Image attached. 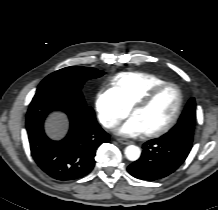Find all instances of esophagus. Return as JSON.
<instances>
[{
  "label": "esophagus",
  "instance_id": "esophagus-1",
  "mask_svg": "<svg viewBox=\"0 0 218 210\" xmlns=\"http://www.w3.org/2000/svg\"><path fill=\"white\" fill-rule=\"evenodd\" d=\"M117 141L121 144H124V145H128L131 143V141L129 140H125V139H122V138H118Z\"/></svg>",
  "mask_w": 218,
  "mask_h": 210
}]
</instances>
